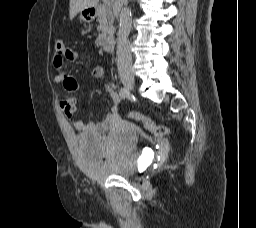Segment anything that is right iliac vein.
Wrapping results in <instances>:
<instances>
[{"mask_svg":"<svg viewBox=\"0 0 256 228\" xmlns=\"http://www.w3.org/2000/svg\"><path fill=\"white\" fill-rule=\"evenodd\" d=\"M122 83L128 90H133L135 86V79L134 76L131 74H125L121 77Z\"/></svg>","mask_w":256,"mask_h":228,"instance_id":"63e3f726","label":"right iliac vein"}]
</instances>
